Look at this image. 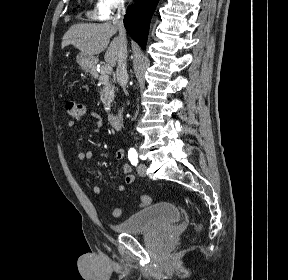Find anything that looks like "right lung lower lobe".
<instances>
[{
    "label": "right lung lower lobe",
    "mask_w": 288,
    "mask_h": 280,
    "mask_svg": "<svg viewBox=\"0 0 288 280\" xmlns=\"http://www.w3.org/2000/svg\"><path fill=\"white\" fill-rule=\"evenodd\" d=\"M157 3L158 0H136L124 16L127 32L143 49L146 48L148 27Z\"/></svg>",
    "instance_id": "98d812e1"
}]
</instances>
